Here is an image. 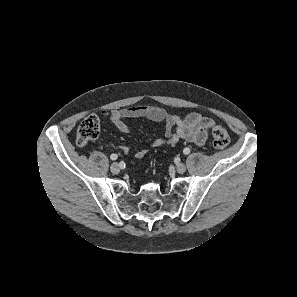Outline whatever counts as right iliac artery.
Returning a JSON list of instances; mask_svg holds the SVG:
<instances>
[{
    "label": "right iliac artery",
    "mask_w": 297,
    "mask_h": 297,
    "mask_svg": "<svg viewBox=\"0 0 297 297\" xmlns=\"http://www.w3.org/2000/svg\"><path fill=\"white\" fill-rule=\"evenodd\" d=\"M117 157H118L117 154H111V155H110V159H111V160H116Z\"/></svg>",
    "instance_id": "obj_1"
}]
</instances>
